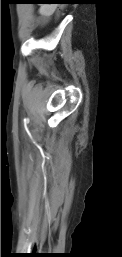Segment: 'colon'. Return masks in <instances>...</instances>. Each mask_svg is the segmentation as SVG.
<instances>
[{"label": "colon", "instance_id": "colon-1", "mask_svg": "<svg viewBox=\"0 0 122 257\" xmlns=\"http://www.w3.org/2000/svg\"><path fill=\"white\" fill-rule=\"evenodd\" d=\"M58 6L59 7H61V8H55V16H57V17H55V21H52V26H57V22H60V16H62L63 15V13H64V8L67 6V3L66 2H59L58 3ZM53 30L55 29L54 27L52 28Z\"/></svg>", "mask_w": 122, "mask_h": 257}]
</instances>
